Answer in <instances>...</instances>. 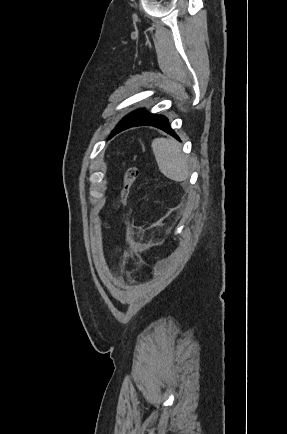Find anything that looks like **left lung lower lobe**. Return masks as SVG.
<instances>
[{"mask_svg":"<svg viewBox=\"0 0 287 434\" xmlns=\"http://www.w3.org/2000/svg\"><path fill=\"white\" fill-rule=\"evenodd\" d=\"M154 126L164 130L169 133L173 137L179 140V137L176 133L170 128L168 124V119L163 115H155L151 113H147L142 109L140 112L136 113L128 120H126L112 135H115L125 129L135 127V126Z\"/></svg>","mask_w":287,"mask_h":434,"instance_id":"left-lung-lower-lobe-1","label":"left lung lower lobe"}]
</instances>
